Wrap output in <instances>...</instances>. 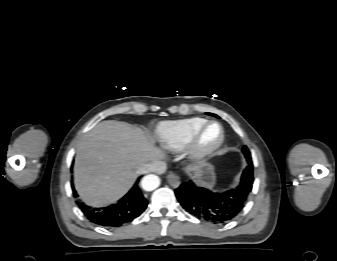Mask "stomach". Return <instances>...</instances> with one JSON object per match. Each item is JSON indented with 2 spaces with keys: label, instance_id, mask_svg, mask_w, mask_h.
<instances>
[{
  "label": "stomach",
  "instance_id": "1",
  "mask_svg": "<svg viewBox=\"0 0 337 261\" xmlns=\"http://www.w3.org/2000/svg\"><path fill=\"white\" fill-rule=\"evenodd\" d=\"M194 176L198 183L207 187H213L215 184L214 167L205 161L194 170Z\"/></svg>",
  "mask_w": 337,
  "mask_h": 261
}]
</instances>
